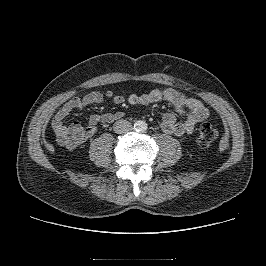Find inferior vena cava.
<instances>
[{"instance_id": "obj_1", "label": "inferior vena cava", "mask_w": 266, "mask_h": 266, "mask_svg": "<svg viewBox=\"0 0 266 266\" xmlns=\"http://www.w3.org/2000/svg\"><path fill=\"white\" fill-rule=\"evenodd\" d=\"M132 129V125L129 121L121 119L115 122L114 131L118 134H123Z\"/></svg>"}]
</instances>
